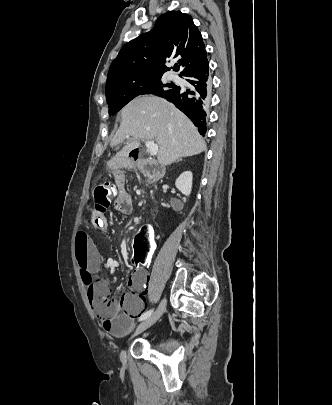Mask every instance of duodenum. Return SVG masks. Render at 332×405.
Listing matches in <instances>:
<instances>
[{
    "label": "duodenum",
    "instance_id": "obj_1",
    "mask_svg": "<svg viewBox=\"0 0 332 405\" xmlns=\"http://www.w3.org/2000/svg\"><path fill=\"white\" fill-rule=\"evenodd\" d=\"M129 158L132 162H138L140 160V154L137 151H131L129 153ZM150 170L153 172V174L156 178L161 177V173L159 172V170L156 166H151Z\"/></svg>",
    "mask_w": 332,
    "mask_h": 405
}]
</instances>
